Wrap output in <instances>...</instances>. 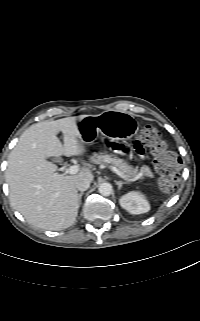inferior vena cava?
Instances as JSON below:
<instances>
[{"label": "inferior vena cava", "instance_id": "inferior-vena-cava-1", "mask_svg": "<svg viewBox=\"0 0 200 321\" xmlns=\"http://www.w3.org/2000/svg\"><path fill=\"white\" fill-rule=\"evenodd\" d=\"M90 182L91 181L87 178H80L76 181V189L79 191H85L89 188Z\"/></svg>", "mask_w": 200, "mask_h": 321}]
</instances>
